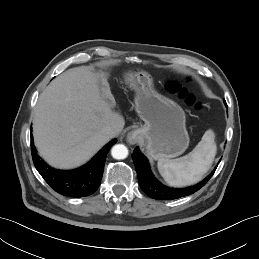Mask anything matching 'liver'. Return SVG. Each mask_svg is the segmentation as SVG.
I'll use <instances>...</instances> for the list:
<instances>
[{
    "label": "liver",
    "mask_w": 259,
    "mask_h": 259,
    "mask_svg": "<svg viewBox=\"0 0 259 259\" xmlns=\"http://www.w3.org/2000/svg\"><path fill=\"white\" fill-rule=\"evenodd\" d=\"M106 73L89 67L72 68L56 77L40 94L33 118L39 154L51 166L72 169L89 161L108 141L103 129L120 133L123 116L113 108Z\"/></svg>",
    "instance_id": "obj_1"
}]
</instances>
